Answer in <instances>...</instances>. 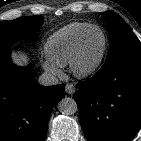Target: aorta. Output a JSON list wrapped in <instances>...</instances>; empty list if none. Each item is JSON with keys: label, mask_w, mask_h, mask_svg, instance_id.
I'll list each match as a JSON object with an SVG mask.
<instances>
[{"label": "aorta", "mask_w": 141, "mask_h": 141, "mask_svg": "<svg viewBox=\"0 0 141 141\" xmlns=\"http://www.w3.org/2000/svg\"><path fill=\"white\" fill-rule=\"evenodd\" d=\"M58 109L62 114L72 115L77 112L78 107L73 98L65 97L59 101Z\"/></svg>", "instance_id": "obj_1"}]
</instances>
